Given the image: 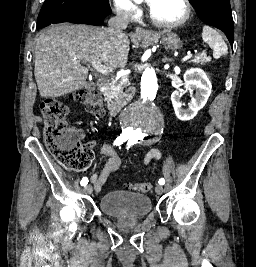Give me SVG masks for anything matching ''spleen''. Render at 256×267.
<instances>
[{
	"instance_id": "3e777b00",
	"label": "spleen",
	"mask_w": 256,
	"mask_h": 267,
	"mask_svg": "<svg viewBox=\"0 0 256 267\" xmlns=\"http://www.w3.org/2000/svg\"><path fill=\"white\" fill-rule=\"evenodd\" d=\"M202 40L210 46L213 50L214 58H220V56H227L228 48L219 32L210 28V26H204L202 30Z\"/></svg>"
}]
</instances>
